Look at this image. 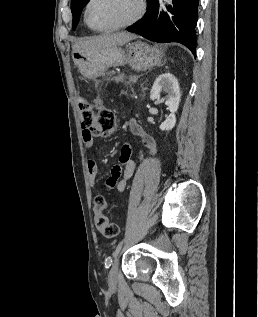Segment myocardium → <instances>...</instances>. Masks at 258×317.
<instances>
[{"instance_id": "obj_1", "label": "myocardium", "mask_w": 258, "mask_h": 317, "mask_svg": "<svg viewBox=\"0 0 258 317\" xmlns=\"http://www.w3.org/2000/svg\"><path fill=\"white\" fill-rule=\"evenodd\" d=\"M93 1L94 0H89L87 5H86V7H85L84 20H85L86 24L92 30L97 31V32H111V31H116V30L126 29V28H129V27H132L134 24H136L141 19V17L144 14V10H145V7H144V4L142 3V1H140V0H131V1H133V2H135L137 4V8H138L136 14L134 15V17L132 19H130L126 23H123V24H120V25H116V26H113V27L98 28V27H95L90 22V20L88 18V11H89L90 5L92 4Z\"/></svg>"}]
</instances>
